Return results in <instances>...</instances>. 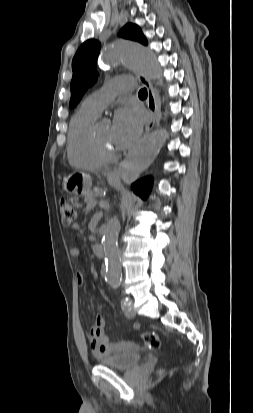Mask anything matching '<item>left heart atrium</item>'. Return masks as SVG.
<instances>
[{
  "mask_svg": "<svg viewBox=\"0 0 253 413\" xmlns=\"http://www.w3.org/2000/svg\"><path fill=\"white\" fill-rule=\"evenodd\" d=\"M142 117L136 108L122 107L114 117L112 136L117 148L129 146L141 133Z\"/></svg>",
  "mask_w": 253,
  "mask_h": 413,
  "instance_id": "left-heart-atrium-1",
  "label": "left heart atrium"
}]
</instances>
